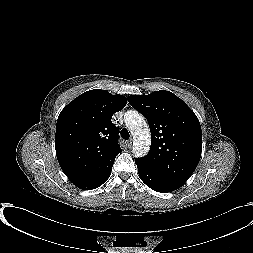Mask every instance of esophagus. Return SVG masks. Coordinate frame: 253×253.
<instances>
[{"label": "esophagus", "mask_w": 253, "mask_h": 253, "mask_svg": "<svg viewBox=\"0 0 253 253\" xmlns=\"http://www.w3.org/2000/svg\"><path fill=\"white\" fill-rule=\"evenodd\" d=\"M127 146L130 148L132 146V139H130L128 142H127Z\"/></svg>", "instance_id": "1"}]
</instances>
